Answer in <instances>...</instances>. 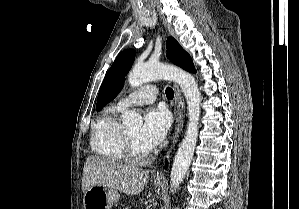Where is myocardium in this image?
<instances>
[{
  "mask_svg": "<svg viewBox=\"0 0 299 209\" xmlns=\"http://www.w3.org/2000/svg\"><path fill=\"white\" fill-rule=\"evenodd\" d=\"M123 145L125 159L133 165H143L147 163L152 156L151 151L145 155H137L134 151L132 141L126 130H124L123 132Z\"/></svg>",
  "mask_w": 299,
  "mask_h": 209,
  "instance_id": "myocardium-1",
  "label": "myocardium"
}]
</instances>
